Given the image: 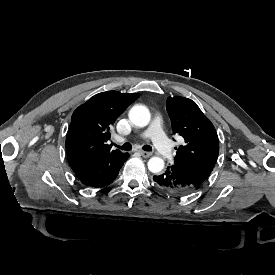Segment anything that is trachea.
<instances>
[{
    "instance_id": "1",
    "label": "trachea",
    "mask_w": 275,
    "mask_h": 275,
    "mask_svg": "<svg viewBox=\"0 0 275 275\" xmlns=\"http://www.w3.org/2000/svg\"><path fill=\"white\" fill-rule=\"evenodd\" d=\"M120 149L125 150V151H129L132 149V145L130 143H124L122 146H118ZM142 149L144 151H151L152 147L150 145H144L142 147Z\"/></svg>"
}]
</instances>
